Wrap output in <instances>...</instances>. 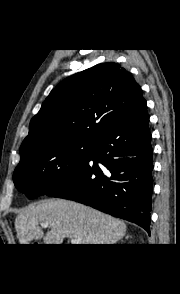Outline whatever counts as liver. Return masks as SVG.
I'll return each mask as SVG.
<instances>
[{
	"instance_id": "liver-1",
	"label": "liver",
	"mask_w": 180,
	"mask_h": 294,
	"mask_svg": "<svg viewBox=\"0 0 180 294\" xmlns=\"http://www.w3.org/2000/svg\"><path fill=\"white\" fill-rule=\"evenodd\" d=\"M40 223L50 230L44 235ZM20 244L43 239L44 244H62L65 237L81 244H115L127 230L126 224L91 207L64 199H52L21 210L15 220Z\"/></svg>"
}]
</instances>
